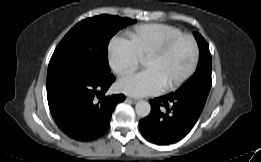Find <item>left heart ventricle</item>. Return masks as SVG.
Instances as JSON below:
<instances>
[{
	"instance_id": "1",
	"label": "left heart ventricle",
	"mask_w": 261,
	"mask_h": 162,
	"mask_svg": "<svg viewBox=\"0 0 261 162\" xmlns=\"http://www.w3.org/2000/svg\"><path fill=\"white\" fill-rule=\"evenodd\" d=\"M193 54L192 43L188 39H182L165 55L147 59L144 66L146 69L154 70L166 86L178 80L188 71Z\"/></svg>"
}]
</instances>
